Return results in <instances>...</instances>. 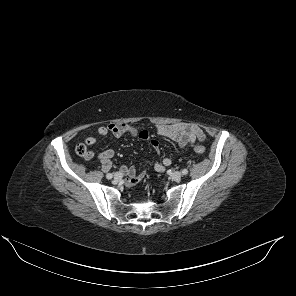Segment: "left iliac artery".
I'll use <instances>...</instances> for the list:
<instances>
[{"label":"left iliac artery","mask_w":296,"mask_h":296,"mask_svg":"<svg viewBox=\"0 0 296 296\" xmlns=\"http://www.w3.org/2000/svg\"><path fill=\"white\" fill-rule=\"evenodd\" d=\"M182 174H183V175H187V174H188V170H187V169H183V170H182Z\"/></svg>","instance_id":"1"}]
</instances>
